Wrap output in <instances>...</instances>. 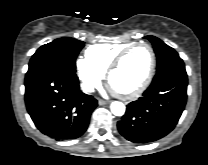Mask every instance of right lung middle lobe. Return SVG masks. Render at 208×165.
Wrapping results in <instances>:
<instances>
[{
  "label": "right lung middle lobe",
  "mask_w": 208,
  "mask_h": 165,
  "mask_svg": "<svg viewBox=\"0 0 208 165\" xmlns=\"http://www.w3.org/2000/svg\"><path fill=\"white\" fill-rule=\"evenodd\" d=\"M84 42L74 38H59L48 44L41 46L32 56L29 69L26 74L31 73L35 69L49 65L60 64L76 71L75 60L83 48Z\"/></svg>",
  "instance_id": "dd1d6c3e"
}]
</instances>
